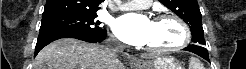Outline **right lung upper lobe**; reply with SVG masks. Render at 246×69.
Here are the masks:
<instances>
[{
  "instance_id": "obj_1",
  "label": "right lung upper lobe",
  "mask_w": 246,
  "mask_h": 69,
  "mask_svg": "<svg viewBox=\"0 0 246 69\" xmlns=\"http://www.w3.org/2000/svg\"><path fill=\"white\" fill-rule=\"evenodd\" d=\"M104 0H47L43 16L58 14H96Z\"/></svg>"
}]
</instances>
